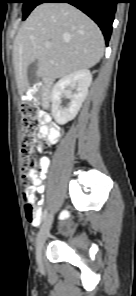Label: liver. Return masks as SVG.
<instances>
[{"instance_id": "liver-1", "label": "liver", "mask_w": 136, "mask_h": 296, "mask_svg": "<svg viewBox=\"0 0 136 296\" xmlns=\"http://www.w3.org/2000/svg\"><path fill=\"white\" fill-rule=\"evenodd\" d=\"M49 42L51 46L45 47ZM104 53L99 27L68 3L38 5L23 23L13 48V63L19 94L30 82L28 66L37 60V77L57 79L96 65Z\"/></svg>"}]
</instances>
